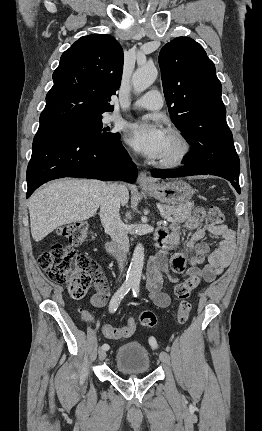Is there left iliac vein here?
I'll use <instances>...</instances> for the list:
<instances>
[{
	"label": "left iliac vein",
	"mask_w": 262,
	"mask_h": 431,
	"mask_svg": "<svg viewBox=\"0 0 262 431\" xmlns=\"http://www.w3.org/2000/svg\"><path fill=\"white\" fill-rule=\"evenodd\" d=\"M159 359L165 365H170V357L167 352L162 351L159 355Z\"/></svg>",
	"instance_id": "left-iliac-vein-1"
}]
</instances>
